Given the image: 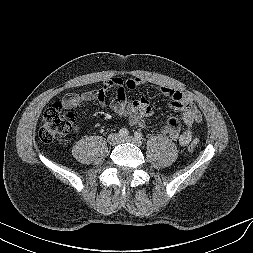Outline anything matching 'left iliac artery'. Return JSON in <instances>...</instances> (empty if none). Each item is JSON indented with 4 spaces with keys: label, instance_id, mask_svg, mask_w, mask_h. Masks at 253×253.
Listing matches in <instances>:
<instances>
[{
    "label": "left iliac artery",
    "instance_id": "44dca946",
    "mask_svg": "<svg viewBox=\"0 0 253 253\" xmlns=\"http://www.w3.org/2000/svg\"><path fill=\"white\" fill-rule=\"evenodd\" d=\"M134 137H135V139L141 141L143 139V134L140 131H136L134 133Z\"/></svg>",
    "mask_w": 253,
    "mask_h": 253
}]
</instances>
